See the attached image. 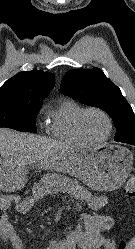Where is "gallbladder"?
<instances>
[{"label": "gallbladder", "instance_id": "1", "mask_svg": "<svg viewBox=\"0 0 135 249\" xmlns=\"http://www.w3.org/2000/svg\"><path fill=\"white\" fill-rule=\"evenodd\" d=\"M0 184L6 185V182L0 178ZM7 185L9 186V184L7 183ZM11 189V188H10Z\"/></svg>", "mask_w": 135, "mask_h": 249}]
</instances>
